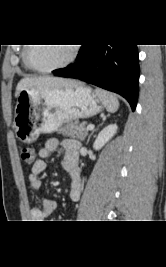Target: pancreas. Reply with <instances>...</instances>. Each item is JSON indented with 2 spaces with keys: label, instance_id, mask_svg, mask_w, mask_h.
Listing matches in <instances>:
<instances>
[{
  "label": "pancreas",
  "instance_id": "cf45deb5",
  "mask_svg": "<svg viewBox=\"0 0 166 267\" xmlns=\"http://www.w3.org/2000/svg\"><path fill=\"white\" fill-rule=\"evenodd\" d=\"M87 122H73L67 123L63 127L59 128V133L65 137L77 138L84 140L87 136L86 130Z\"/></svg>",
  "mask_w": 166,
  "mask_h": 267
}]
</instances>
